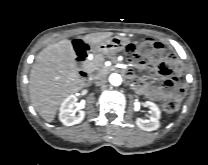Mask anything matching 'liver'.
Segmentation results:
<instances>
[{
    "mask_svg": "<svg viewBox=\"0 0 208 165\" xmlns=\"http://www.w3.org/2000/svg\"><path fill=\"white\" fill-rule=\"evenodd\" d=\"M112 35V32H97L80 39L93 46ZM75 59L76 53L67 39L46 46L35 58L29 80L30 99L35 110L47 122L54 120L66 97L84 86Z\"/></svg>",
    "mask_w": 208,
    "mask_h": 165,
    "instance_id": "obj_1",
    "label": "liver"
}]
</instances>
